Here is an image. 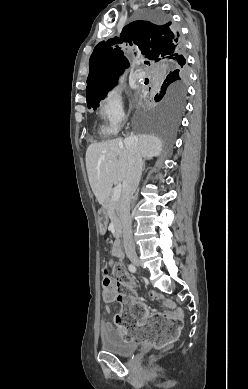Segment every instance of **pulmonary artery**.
Here are the masks:
<instances>
[{
	"label": "pulmonary artery",
	"instance_id": "pulmonary-artery-1",
	"mask_svg": "<svg viewBox=\"0 0 248 389\" xmlns=\"http://www.w3.org/2000/svg\"><path fill=\"white\" fill-rule=\"evenodd\" d=\"M143 77V74L138 72L134 75V80H140Z\"/></svg>",
	"mask_w": 248,
	"mask_h": 389
}]
</instances>
